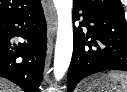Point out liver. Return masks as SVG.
Listing matches in <instances>:
<instances>
[{
	"label": "liver",
	"mask_w": 127,
	"mask_h": 92,
	"mask_svg": "<svg viewBox=\"0 0 127 92\" xmlns=\"http://www.w3.org/2000/svg\"><path fill=\"white\" fill-rule=\"evenodd\" d=\"M0 92H22L20 88L10 81L0 78Z\"/></svg>",
	"instance_id": "liver-1"
}]
</instances>
